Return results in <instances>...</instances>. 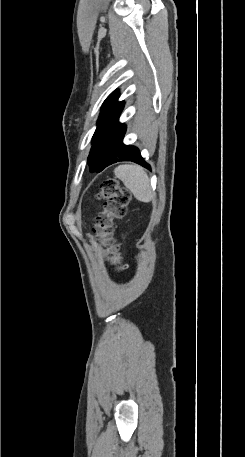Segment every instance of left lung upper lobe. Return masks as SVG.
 Instances as JSON below:
<instances>
[{
  "label": "left lung upper lobe",
  "mask_w": 245,
  "mask_h": 457,
  "mask_svg": "<svg viewBox=\"0 0 245 457\" xmlns=\"http://www.w3.org/2000/svg\"><path fill=\"white\" fill-rule=\"evenodd\" d=\"M118 97H119V91L115 90L104 101L103 106L101 108V113H100V116H99V119L97 122V126L106 124V123H111L119 117V115L124 107V102H117Z\"/></svg>",
  "instance_id": "5c2ea615"
}]
</instances>
